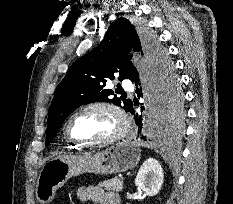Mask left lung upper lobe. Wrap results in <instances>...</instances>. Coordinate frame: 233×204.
Here are the masks:
<instances>
[{
	"mask_svg": "<svg viewBox=\"0 0 233 204\" xmlns=\"http://www.w3.org/2000/svg\"><path fill=\"white\" fill-rule=\"evenodd\" d=\"M146 49L158 72L162 93V115L167 123L176 129L181 126L184 114L179 81L166 50L157 39L142 28L135 27L126 18L112 23L102 42L83 58L71 65L65 77L57 86L48 111L46 143L49 145L64 120L77 107L93 102H112L125 111L132 101L118 98L119 93L104 86L109 80L130 79L135 66L127 52Z\"/></svg>",
	"mask_w": 233,
	"mask_h": 204,
	"instance_id": "5c2ea615",
	"label": "left lung upper lobe"
}]
</instances>
